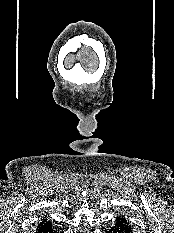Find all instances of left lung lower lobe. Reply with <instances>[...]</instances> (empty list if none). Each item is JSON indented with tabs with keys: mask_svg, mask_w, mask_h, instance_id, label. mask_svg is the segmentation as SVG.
Returning a JSON list of instances; mask_svg holds the SVG:
<instances>
[{
	"mask_svg": "<svg viewBox=\"0 0 174 233\" xmlns=\"http://www.w3.org/2000/svg\"><path fill=\"white\" fill-rule=\"evenodd\" d=\"M106 233H133V228L123 217H117Z\"/></svg>",
	"mask_w": 174,
	"mask_h": 233,
	"instance_id": "obj_1",
	"label": "left lung lower lobe"
}]
</instances>
